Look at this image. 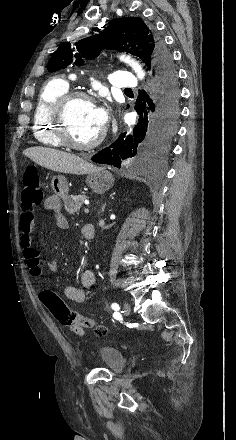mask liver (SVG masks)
Here are the masks:
<instances>
[{"mask_svg":"<svg viewBox=\"0 0 236 440\" xmlns=\"http://www.w3.org/2000/svg\"><path fill=\"white\" fill-rule=\"evenodd\" d=\"M23 154L42 167L65 174L84 175L97 168L76 155L46 147H31Z\"/></svg>","mask_w":236,"mask_h":440,"instance_id":"6515ba94","label":"liver"}]
</instances>
